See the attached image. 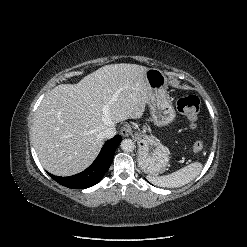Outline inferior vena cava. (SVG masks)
I'll list each match as a JSON object with an SVG mask.
<instances>
[{
	"label": "inferior vena cava",
	"mask_w": 247,
	"mask_h": 247,
	"mask_svg": "<svg viewBox=\"0 0 247 247\" xmlns=\"http://www.w3.org/2000/svg\"><path fill=\"white\" fill-rule=\"evenodd\" d=\"M102 137L105 139H111L112 137H114L116 135V129L114 126H110L108 128H106L102 133H101Z\"/></svg>",
	"instance_id": "inferior-vena-cava-1"
}]
</instances>
